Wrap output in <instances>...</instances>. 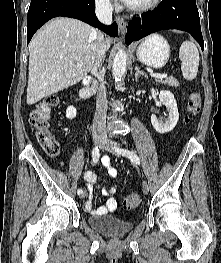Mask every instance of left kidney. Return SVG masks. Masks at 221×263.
<instances>
[{
	"label": "left kidney",
	"mask_w": 221,
	"mask_h": 263,
	"mask_svg": "<svg viewBox=\"0 0 221 263\" xmlns=\"http://www.w3.org/2000/svg\"><path fill=\"white\" fill-rule=\"evenodd\" d=\"M159 100L163 105L166 106L168 118L167 120L163 121L157 119L155 114H152L151 123L157 132L164 134L172 131L175 128L179 120V112L177 102L174 98V95L170 91H161L159 94Z\"/></svg>",
	"instance_id": "obj_1"
}]
</instances>
